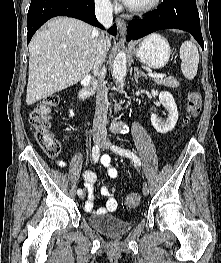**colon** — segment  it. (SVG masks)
Returning a JSON list of instances; mask_svg holds the SVG:
<instances>
[{
  "label": "colon",
  "instance_id": "colon-1",
  "mask_svg": "<svg viewBox=\"0 0 221 263\" xmlns=\"http://www.w3.org/2000/svg\"><path fill=\"white\" fill-rule=\"evenodd\" d=\"M57 96H50L37 104L29 114L30 124L32 125L38 142L45 148L48 155L54 157L60 152L58 143L51 134V112L59 104ZM201 109L200 95L193 91L189 94L187 121L197 117ZM140 204L138 193H130L124 199V206L127 209L136 208Z\"/></svg>",
  "mask_w": 221,
  "mask_h": 263
}]
</instances>
